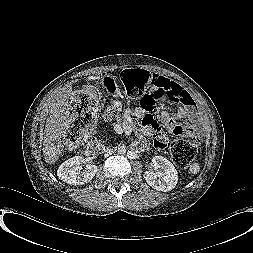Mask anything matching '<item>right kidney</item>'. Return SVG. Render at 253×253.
Returning a JSON list of instances; mask_svg holds the SVG:
<instances>
[{"mask_svg":"<svg viewBox=\"0 0 253 253\" xmlns=\"http://www.w3.org/2000/svg\"><path fill=\"white\" fill-rule=\"evenodd\" d=\"M86 160L82 156H74L63 162L58 170L57 176L64 182L72 185H83L92 180L97 172V166L87 164L82 167Z\"/></svg>","mask_w":253,"mask_h":253,"instance_id":"1","label":"right kidney"}]
</instances>
